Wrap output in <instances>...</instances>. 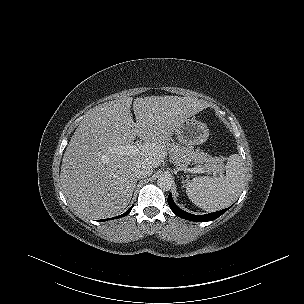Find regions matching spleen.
<instances>
[{"label":"spleen","mask_w":304,"mask_h":304,"mask_svg":"<svg viewBox=\"0 0 304 304\" xmlns=\"http://www.w3.org/2000/svg\"><path fill=\"white\" fill-rule=\"evenodd\" d=\"M226 174L219 177H196L186 186L189 199L199 208L216 211L229 206L244 185L242 158L232 154L227 159Z\"/></svg>","instance_id":"1"}]
</instances>
